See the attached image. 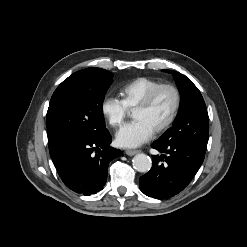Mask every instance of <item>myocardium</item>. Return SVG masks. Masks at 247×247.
Segmentation results:
<instances>
[{
	"mask_svg": "<svg viewBox=\"0 0 247 247\" xmlns=\"http://www.w3.org/2000/svg\"><path fill=\"white\" fill-rule=\"evenodd\" d=\"M163 89H169L172 91L174 95V105L172 108V111L169 115V117L163 122L160 126H158L154 132L155 133H161L167 130L175 121L180 107H181V102H182V97H181V92L179 88L171 83H161L154 87L149 93L144 97V99L135 107V109H147L151 106L153 101L155 100L156 96L160 91Z\"/></svg>",
	"mask_w": 247,
	"mask_h": 247,
	"instance_id": "obj_1",
	"label": "myocardium"
}]
</instances>
